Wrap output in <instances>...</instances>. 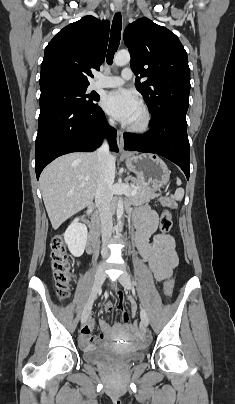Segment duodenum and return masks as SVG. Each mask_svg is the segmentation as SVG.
<instances>
[{
  "instance_id": "obj_1",
  "label": "duodenum",
  "mask_w": 235,
  "mask_h": 404,
  "mask_svg": "<svg viewBox=\"0 0 235 404\" xmlns=\"http://www.w3.org/2000/svg\"><path fill=\"white\" fill-rule=\"evenodd\" d=\"M97 244V222L93 220L92 230L87 239V251L89 253L93 252Z\"/></svg>"
}]
</instances>
